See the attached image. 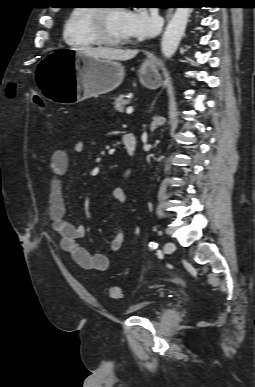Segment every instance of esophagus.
I'll list each match as a JSON object with an SVG mask.
<instances>
[{"label": "esophagus", "instance_id": "obj_1", "mask_svg": "<svg viewBox=\"0 0 255 387\" xmlns=\"http://www.w3.org/2000/svg\"><path fill=\"white\" fill-rule=\"evenodd\" d=\"M173 10L169 9L166 13V20L169 21L172 16Z\"/></svg>", "mask_w": 255, "mask_h": 387}]
</instances>
